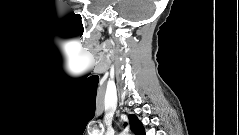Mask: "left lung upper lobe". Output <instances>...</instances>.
<instances>
[{
  "label": "left lung upper lobe",
  "mask_w": 239,
  "mask_h": 135,
  "mask_svg": "<svg viewBox=\"0 0 239 135\" xmlns=\"http://www.w3.org/2000/svg\"><path fill=\"white\" fill-rule=\"evenodd\" d=\"M129 123H130V129L136 134V135H145V130L140 122V120L137 118L136 115H129ZM127 123H125V126Z\"/></svg>",
  "instance_id": "1"
}]
</instances>
